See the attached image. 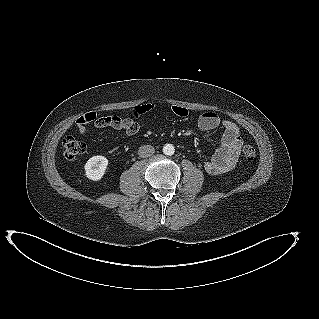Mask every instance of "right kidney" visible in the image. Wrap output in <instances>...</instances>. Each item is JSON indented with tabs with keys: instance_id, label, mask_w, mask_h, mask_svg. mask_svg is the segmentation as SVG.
I'll return each instance as SVG.
<instances>
[{
	"instance_id": "ca27d5eb",
	"label": "right kidney",
	"mask_w": 319,
	"mask_h": 319,
	"mask_svg": "<svg viewBox=\"0 0 319 319\" xmlns=\"http://www.w3.org/2000/svg\"><path fill=\"white\" fill-rule=\"evenodd\" d=\"M108 159L104 156L97 155L91 157L85 164V175L93 181L100 180L107 169Z\"/></svg>"
}]
</instances>
